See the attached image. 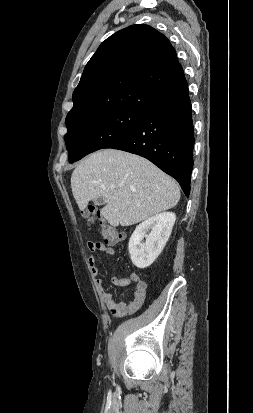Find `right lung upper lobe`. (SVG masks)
<instances>
[{
	"label": "right lung upper lobe",
	"mask_w": 253,
	"mask_h": 413,
	"mask_svg": "<svg viewBox=\"0 0 253 413\" xmlns=\"http://www.w3.org/2000/svg\"><path fill=\"white\" fill-rule=\"evenodd\" d=\"M188 89L176 51L148 25H132L101 43L73 92L66 124L100 112H146Z\"/></svg>",
	"instance_id": "1"
}]
</instances>
